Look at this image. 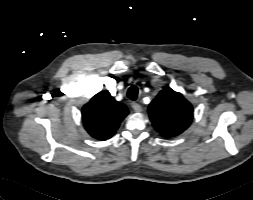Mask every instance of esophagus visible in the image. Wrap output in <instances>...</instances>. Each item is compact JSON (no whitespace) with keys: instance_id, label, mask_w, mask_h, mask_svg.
I'll return each instance as SVG.
<instances>
[{"instance_id":"34e87169","label":"esophagus","mask_w":253,"mask_h":200,"mask_svg":"<svg viewBox=\"0 0 253 200\" xmlns=\"http://www.w3.org/2000/svg\"><path fill=\"white\" fill-rule=\"evenodd\" d=\"M131 105H132V108L134 109V111H136V112L142 111V107L138 103L133 102Z\"/></svg>"}]
</instances>
